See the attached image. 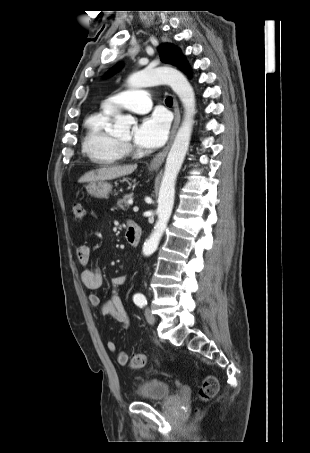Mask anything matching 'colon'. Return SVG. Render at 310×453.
<instances>
[{"label": "colon", "mask_w": 310, "mask_h": 453, "mask_svg": "<svg viewBox=\"0 0 310 453\" xmlns=\"http://www.w3.org/2000/svg\"><path fill=\"white\" fill-rule=\"evenodd\" d=\"M85 216V209L82 203L76 202L73 205V217L76 220H82ZM146 364V356L144 353L135 354L131 360L130 367L138 369L144 367ZM218 380L214 376H206L199 388V397L203 401L212 399L218 392Z\"/></svg>", "instance_id": "5ec220e1"}]
</instances>
